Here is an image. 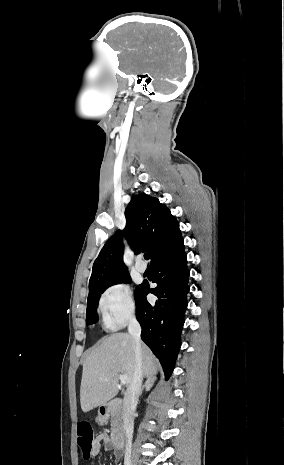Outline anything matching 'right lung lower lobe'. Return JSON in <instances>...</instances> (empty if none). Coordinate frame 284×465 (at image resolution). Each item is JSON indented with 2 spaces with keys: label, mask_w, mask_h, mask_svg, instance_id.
<instances>
[{
  "label": "right lung lower lobe",
  "mask_w": 284,
  "mask_h": 465,
  "mask_svg": "<svg viewBox=\"0 0 284 465\" xmlns=\"http://www.w3.org/2000/svg\"><path fill=\"white\" fill-rule=\"evenodd\" d=\"M150 264L157 287L150 289L147 282L139 285L134 292L136 316L142 328L141 338L160 360L167 380L181 346L190 289L183 238L156 256ZM149 292L157 296L154 304L146 299Z\"/></svg>",
  "instance_id": "98d812e1"
}]
</instances>
